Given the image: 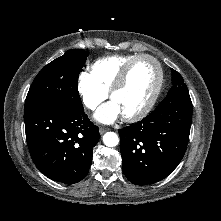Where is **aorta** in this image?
I'll list each match as a JSON object with an SVG mask.
<instances>
[{"mask_svg":"<svg viewBox=\"0 0 221 221\" xmlns=\"http://www.w3.org/2000/svg\"><path fill=\"white\" fill-rule=\"evenodd\" d=\"M103 143L108 147H115L119 143V137L114 132H107L103 135Z\"/></svg>","mask_w":221,"mask_h":221,"instance_id":"1","label":"aorta"}]
</instances>
